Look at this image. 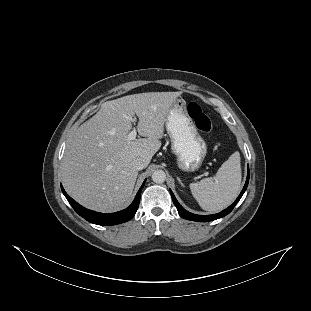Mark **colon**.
Segmentation results:
<instances>
[{
  "mask_svg": "<svg viewBox=\"0 0 311 311\" xmlns=\"http://www.w3.org/2000/svg\"><path fill=\"white\" fill-rule=\"evenodd\" d=\"M187 113L200 131L204 133L212 132V120L203 110L201 105L196 102H190L187 105Z\"/></svg>",
  "mask_w": 311,
  "mask_h": 311,
  "instance_id": "1",
  "label": "colon"
}]
</instances>
